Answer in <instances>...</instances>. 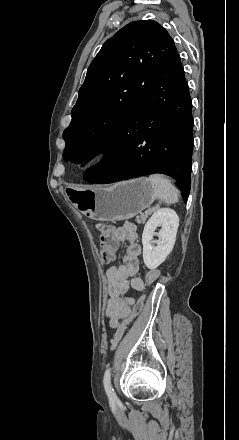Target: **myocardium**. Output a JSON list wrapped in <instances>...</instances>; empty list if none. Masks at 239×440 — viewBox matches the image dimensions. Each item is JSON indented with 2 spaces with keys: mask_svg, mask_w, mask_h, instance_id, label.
Here are the masks:
<instances>
[{
  "mask_svg": "<svg viewBox=\"0 0 239 440\" xmlns=\"http://www.w3.org/2000/svg\"><path fill=\"white\" fill-rule=\"evenodd\" d=\"M110 155V147L106 143H95L87 147L81 157L82 165L95 168L101 165Z\"/></svg>",
  "mask_w": 239,
  "mask_h": 440,
  "instance_id": "myocardium-1",
  "label": "myocardium"
}]
</instances>
